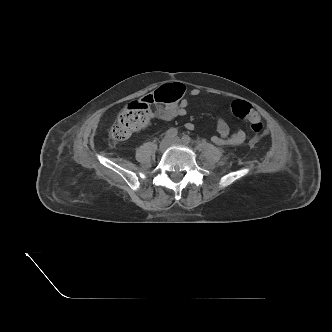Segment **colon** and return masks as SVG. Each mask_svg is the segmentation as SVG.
Masks as SVG:
<instances>
[{
	"label": "colon",
	"instance_id": "1",
	"mask_svg": "<svg viewBox=\"0 0 332 332\" xmlns=\"http://www.w3.org/2000/svg\"><path fill=\"white\" fill-rule=\"evenodd\" d=\"M185 93V86L181 83H170L160 86L152 94L131 102L119 113L116 122L110 130V138L114 142L127 140L137 130L143 128L149 122L151 116L161 108L178 104ZM153 106L156 108L153 109ZM225 109L236 118L246 121L254 133L250 143L256 144L267 130L261 121L257 111L246 101L235 100Z\"/></svg>",
	"mask_w": 332,
	"mask_h": 332
}]
</instances>
